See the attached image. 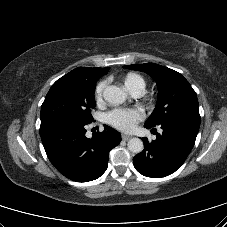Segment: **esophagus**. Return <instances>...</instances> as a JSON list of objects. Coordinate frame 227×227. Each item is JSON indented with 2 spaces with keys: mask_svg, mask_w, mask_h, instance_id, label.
<instances>
[{
  "mask_svg": "<svg viewBox=\"0 0 227 227\" xmlns=\"http://www.w3.org/2000/svg\"><path fill=\"white\" fill-rule=\"evenodd\" d=\"M131 138H132V136H130V135H125V134L122 135V140L123 141H128Z\"/></svg>",
  "mask_w": 227,
  "mask_h": 227,
  "instance_id": "34e87169",
  "label": "esophagus"
}]
</instances>
